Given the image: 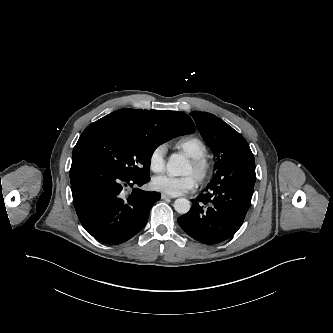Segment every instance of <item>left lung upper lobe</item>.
Returning a JSON list of instances; mask_svg holds the SVG:
<instances>
[{
	"instance_id": "left-lung-upper-lobe-1",
	"label": "left lung upper lobe",
	"mask_w": 333,
	"mask_h": 333,
	"mask_svg": "<svg viewBox=\"0 0 333 333\" xmlns=\"http://www.w3.org/2000/svg\"><path fill=\"white\" fill-rule=\"evenodd\" d=\"M191 116L194 118L201 136L216 157L217 169L233 156L250 150L242 135L217 116L200 111L191 112Z\"/></svg>"
}]
</instances>
